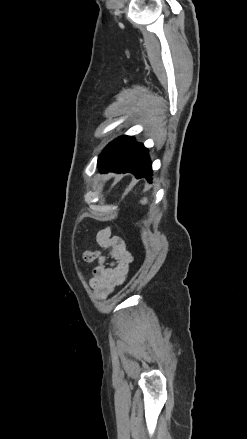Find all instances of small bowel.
Returning <instances> with one entry per match:
<instances>
[{"mask_svg":"<svg viewBox=\"0 0 247 439\" xmlns=\"http://www.w3.org/2000/svg\"><path fill=\"white\" fill-rule=\"evenodd\" d=\"M96 243L107 251L112 262H107V257L101 250L85 251L83 259L89 263L97 261L90 285L101 298H105L125 281L133 257L127 251L124 241L120 237L113 236L108 228L97 233Z\"/></svg>","mask_w":247,"mask_h":439,"instance_id":"small-bowel-1","label":"small bowel"}]
</instances>
